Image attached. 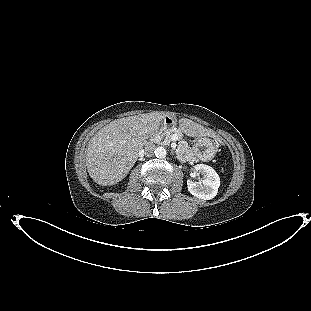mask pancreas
<instances>
[{
	"instance_id": "cf45deb5",
	"label": "pancreas",
	"mask_w": 311,
	"mask_h": 311,
	"mask_svg": "<svg viewBox=\"0 0 311 311\" xmlns=\"http://www.w3.org/2000/svg\"><path fill=\"white\" fill-rule=\"evenodd\" d=\"M173 134H176L179 138L178 153L186 154L187 161H192L194 159V155L188 143L185 140H183V134L179 129L171 128V129L161 130L154 136V139L158 140V142L169 144L171 142V136Z\"/></svg>"
}]
</instances>
